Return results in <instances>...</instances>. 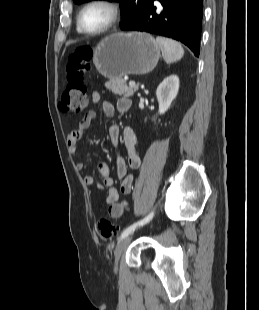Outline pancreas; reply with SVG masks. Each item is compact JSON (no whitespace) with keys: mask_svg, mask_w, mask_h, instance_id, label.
Listing matches in <instances>:
<instances>
[{"mask_svg":"<svg viewBox=\"0 0 259 310\" xmlns=\"http://www.w3.org/2000/svg\"><path fill=\"white\" fill-rule=\"evenodd\" d=\"M105 87L112 91L114 94L130 97L138 90V85L134 87H127L126 81L122 78L112 79L105 84Z\"/></svg>","mask_w":259,"mask_h":310,"instance_id":"1","label":"pancreas"}]
</instances>
